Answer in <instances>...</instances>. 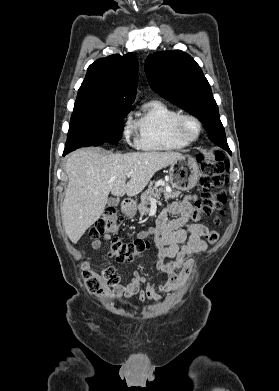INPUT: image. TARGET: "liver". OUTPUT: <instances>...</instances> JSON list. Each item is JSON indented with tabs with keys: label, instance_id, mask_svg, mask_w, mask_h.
I'll use <instances>...</instances> for the list:
<instances>
[{
	"label": "liver",
	"instance_id": "obj_1",
	"mask_svg": "<svg viewBox=\"0 0 279 391\" xmlns=\"http://www.w3.org/2000/svg\"><path fill=\"white\" fill-rule=\"evenodd\" d=\"M182 155L178 152L109 154L87 149L72 153L66 161L69 178L62 206L66 234L76 244L103 214L108 195L135 196L159 170ZM132 176L126 183L127 174Z\"/></svg>",
	"mask_w": 279,
	"mask_h": 391
}]
</instances>
